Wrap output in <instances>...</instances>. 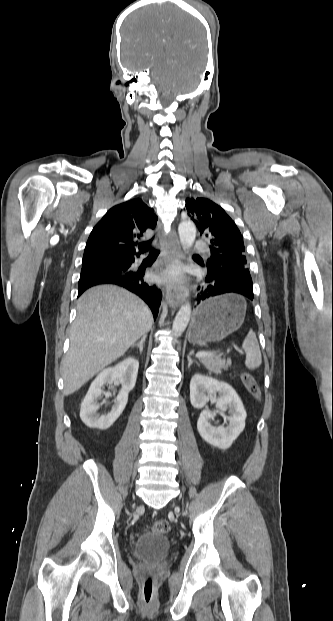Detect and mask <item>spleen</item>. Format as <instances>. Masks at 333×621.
Instances as JSON below:
<instances>
[{"instance_id":"spleen-1","label":"spleen","mask_w":333,"mask_h":621,"mask_svg":"<svg viewBox=\"0 0 333 621\" xmlns=\"http://www.w3.org/2000/svg\"><path fill=\"white\" fill-rule=\"evenodd\" d=\"M242 348L246 353V367L251 370L258 368L262 363V356L256 335L252 330L245 337Z\"/></svg>"}]
</instances>
